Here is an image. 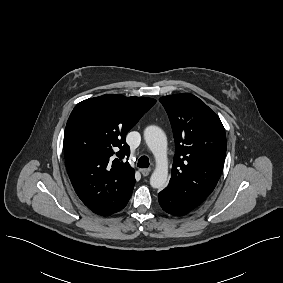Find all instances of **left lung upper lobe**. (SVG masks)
Masks as SVG:
<instances>
[{"label":"left lung upper lobe","instance_id":"5c2ea615","mask_svg":"<svg viewBox=\"0 0 283 283\" xmlns=\"http://www.w3.org/2000/svg\"><path fill=\"white\" fill-rule=\"evenodd\" d=\"M173 129L176 153L167 186L190 209L214 190L221 175L226 134L219 117L196 96L161 97Z\"/></svg>","mask_w":283,"mask_h":283}]
</instances>
